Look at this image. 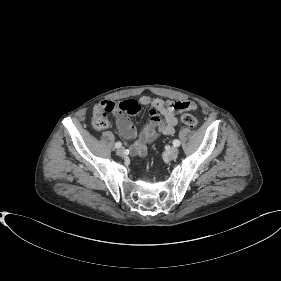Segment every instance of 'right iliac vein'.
Masks as SVG:
<instances>
[{
    "mask_svg": "<svg viewBox=\"0 0 281 281\" xmlns=\"http://www.w3.org/2000/svg\"><path fill=\"white\" fill-rule=\"evenodd\" d=\"M117 155L123 156L125 154V149L123 147H119L116 151Z\"/></svg>",
    "mask_w": 281,
    "mask_h": 281,
    "instance_id": "right-iliac-vein-1",
    "label": "right iliac vein"
}]
</instances>
